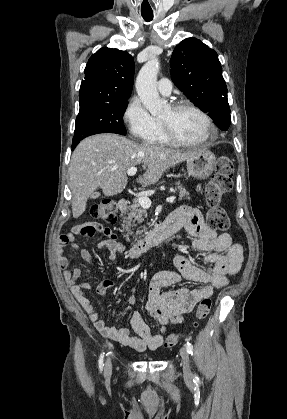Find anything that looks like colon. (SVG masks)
I'll return each mask as SVG.
<instances>
[{
  "instance_id": "obj_1",
  "label": "colon",
  "mask_w": 287,
  "mask_h": 419,
  "mask_svg": "<svg viewBox=\"0 0 287 419\" xmlns=\"http://www.w3.org/2000/svg\"><path fill=\"white\" fill-rule=\"evenodd\" d=\"M233 162L229 156L218 157L215 173L206 186L205 198L208 210V223L212 229L226 230L229 227V219L223 208L220 207V201L224 194L232 188ZM92 215L102 221L113 224L117 220V206L112 198H104L98 202L92 209ZM212 307L209 298H204L199 302L196 311V317L199 320L205 319ZM181 333H172L164 340V347L171 348L181 339Z\"/></svg>"
}]
</instances>
